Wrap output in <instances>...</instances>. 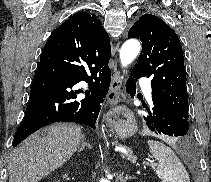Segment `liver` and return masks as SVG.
Segmentation results:
<instances>
[{
  "label": "liver",
  "instance_id": "liver-1",
  "mask_svg": "<svg viewBox=\"0 0 211 182\" xmlns=\"http://www.w3.org/2000/svg\"><path fill=\"white\" fill-rule=\"evenodd\" d=\"M84 140L80 126L51 125L21 142L9 161V182H38L61 167Z\"/></svg>",
  "mask_w": 211,
  "mask_h": 182
}]
</instances>
